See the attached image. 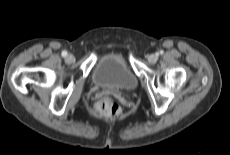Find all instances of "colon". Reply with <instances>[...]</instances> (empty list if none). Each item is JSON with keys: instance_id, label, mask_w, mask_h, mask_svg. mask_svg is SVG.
I'll return each instance as SVG.
<instances>
[{"instance_id": "5ec220e1", "label": "colon", "mask_w": 230, "mask_h": 155, "mask_svg": "<svg viewBox=\"0 0 230 155\" xmlns=\"http://www.w3.org/2000/svg\"><path fill=\"white\" fill-rule=\"evenodd\" d=\"M98 111L106 117H116L121 112L118 102L111 96L102 97L97 103Z\"/></svg>"}]
</instances>
